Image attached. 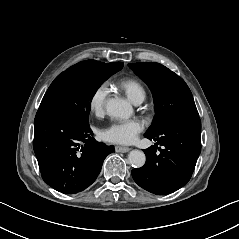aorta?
Segmentation results:
<instances>
[{
    "instance_id": "obj_1",
    "label": "aorta",
    "mask_w": 239,
    "mask_h": 239,
    "mask_svg": "<svg viewBox=\"0 0 239 239\" xmlns=\"http://www.w3.org/2000/svg\"><path fill=\"white\" fill-rule=\"evenodd\" d=\"M106 111L109 116L119 119H129L132 115V105L126 100L119 98H109L106 102ZM129 162L137 167H143L146 162V156L141 151H131L128 156Z\"/></svg>"
}]
</instances>
